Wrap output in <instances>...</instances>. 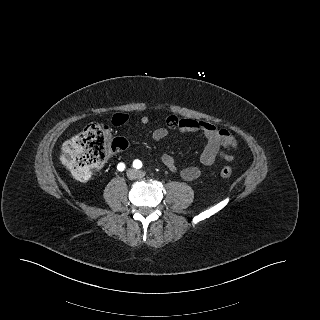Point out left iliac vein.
Segmentation results:
<instances>
[{
    "label": "left iliac vein",
    "mask_w": 320,
    "mask_h": 320,
    "mask_svg": "<svg viewBox=\"0 0 320 320\" xmlns=\"http://www.w3.org/2000/svg\"><path fill=\"white\" fill-rule=\"evenodd\" d=\"M137 175H138L139 177H143V176H144V172H143V171H137Z\"/></svg>",
    "instance_id": "left-iliac-vein-1"
}]
</instances>
